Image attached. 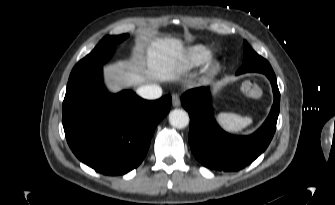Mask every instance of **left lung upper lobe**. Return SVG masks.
Segmentation results:
<instances>
[{
	"label": "left lung upper lobe",
	"instance_id": "5c2ea615",
	"mask_svg": "<svg viewBox=\"0 0 335 205\" xmlns=\"http://www.w3.org/2000/svg\"><path fill=\"white\" fill-rule=\"evenodd\" d=\"M244 50V61L242 67L238 70V73H246V72H259L263 74L274 73L269 62L258 55L247 43L244 41L243 43Z\"/></svg>",
	"mask_w": 335,
	"mask_h": 205
}]
</instances>
